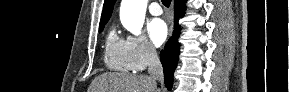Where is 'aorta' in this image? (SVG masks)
<instances>
[{"label":"aorta","instance_id":"762f6f07","mask_svg":"<svg viewBox=\"0 0 289 92\" xmlns=\"http://www.w3.org/2000/svg\"><path fill=\"white\" fill-rule=\"evenodd\" d=\"M148 0H122L120 20L122 25L134 35H139L145 20Z\"/></svg>","mask_w":289,"mask_h":92}]
</instances>
